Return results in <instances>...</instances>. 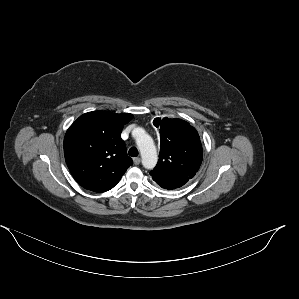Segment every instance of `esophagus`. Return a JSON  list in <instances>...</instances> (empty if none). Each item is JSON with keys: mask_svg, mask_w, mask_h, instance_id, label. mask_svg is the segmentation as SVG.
Wrapping results in <instances>:
<instances>
[{"mask_svg": "<svg viewBox=\"0 0 299 299\" xmlns=\"http://www.w3.org/2000/svg\"><path fill=\"white\" fill-rule=\"evenodd\" d=\"M133 162H134L135 165H139L140 162H141V159H140L139 157H135V158L133 159Z\"/></svg>", "mask_w": 299, "mask_h": 299, "instance_id": "esophagus-1", "label": "esophagus"}]
</instances>
